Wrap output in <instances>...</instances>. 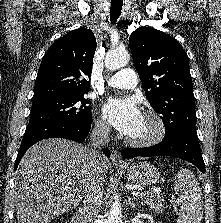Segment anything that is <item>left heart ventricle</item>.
<instances>
[{
    "label": "left heart ventricle",
    "mask_w": 221,
    "mask_h": 223,
    "mask_svg": "<svg viewBox=\"0 0 221 223\" xmlns=\"http://www.w3.org/2000/svg\"><path fill=\"white\" fill-rule=\"evenodd\" d=\"M155 130V125L152 119L142 115L136 129L129 135L131 138H143L152 134Z\"/></svg>",
    "instance_id": "1"
}]
</instances>
